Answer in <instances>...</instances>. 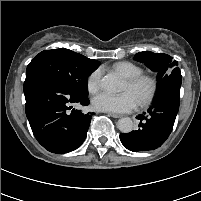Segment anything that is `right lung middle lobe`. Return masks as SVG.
Listing matches in <instances>:
<instances>
[{"instance_id": "right-lung-middle-lobe-1", "label": "right lung middle lobe", "mask_w": 201, "mask_h": 201, "mask_svg": "<svg viewBox=\"0 0 201 201\" xmlns=\"http://www.w3.org/2000/svg\"><path fill=\"white\" fill-rule=\"evenodd\" d=\"M100 65L78 57L75 52L61 48L40 52L27 66L26 76L34 73L47 74L79 96L87 97V77Z\"/></svg>"}]
</instances>
